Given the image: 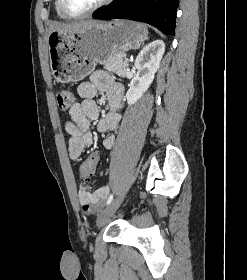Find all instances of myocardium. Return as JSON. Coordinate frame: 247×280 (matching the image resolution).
I'll list each match as a JSON object with an SVG mask.
<instances>
[{
	"label": "myocardium",
	"mask_w": 247,
	"mask_h": 280,
	"mask_svg": "<svg viewBox=\"0 0 247 280\" xmlns=\"http://www.w3.org/2000/svg\"><path fill=\"white\" fill-rule=\"evenodd\" d=\"M111 2H112V0H101L100 2H98L96 5H94L93 7H91L88 10H85L80 13H73L68 9L66 0H60V10L66 18L77 19V18H82V17L88 16V15H91L94 12L105 7L106 5H108Z\"/></svg>",
	"instance_id": "1"
}]
</instances>
